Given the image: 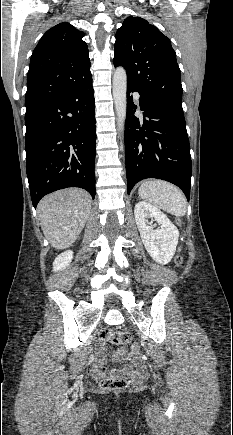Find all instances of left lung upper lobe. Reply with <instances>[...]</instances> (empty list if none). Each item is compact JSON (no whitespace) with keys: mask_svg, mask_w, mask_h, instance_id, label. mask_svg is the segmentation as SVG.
<instances>
[{"mask_svg":"<svg viewBox=\"0 0 233 435\" xmlns=\"http://www.w3.org/2000/svg\"><path fill=\"white\" fill-rule=\"evenodd\" d=\"M114 65L123 66L127 83L143 96L182 106L176 53L168 37L140 17H128L117 30Z\"/></svg>","mask_w":233,"mask_h":435,"instance_id":"obj_1","label":"left lung upper lobe"}]
</instances>
